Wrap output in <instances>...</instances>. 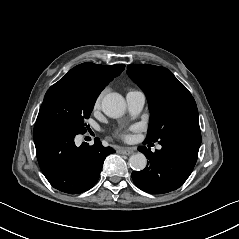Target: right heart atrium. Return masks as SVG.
<instances>
[{"mask_svg": "<svg viewBox=\"0 0 239 239\" xmlns=\"http://www.w3.org/2000/svg\"><path fill=\"white\" fill-rule=\"evenodd\" d=\"M104 93H105V91H102L98 94V96L96 97L95 102H94V107H97L100 105Z\"/></svg>", "mask_w": 239, "mask_h": 239, "instance_id": "d8ad5b80", "label": "right heart atrium"}]
</instances>
